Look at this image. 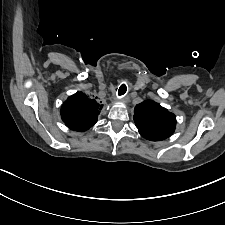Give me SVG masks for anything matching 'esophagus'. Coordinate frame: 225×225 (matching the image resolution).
Here are the masks:
<instances>
[{"label": "esophagus", "instance_id": "34e87169", "mask_svg": "<svg viewBox=\"0 0 225 225\" xmlns=\"http://www.w3.org/2000/svg\"><path fill=\"white\" fill-rule=\"evenodd\" d=\"M119 99H121L122 101H126L127 97L122 96V97H119Z\"/></svg>", "mask_w": 225, "mask_h": 225}]
</instances>
